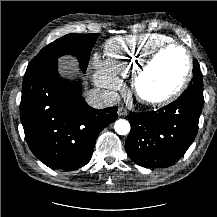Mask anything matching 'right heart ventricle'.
<instances>
[{
  "mask_svg": "<svg viewBox=\"0 0 217 217\" xmlns=\"http://www.w3.org/2000/svg\"><path fill=\"white\" fill-rule=\"evenodd\" d=\"M168 42L170 37L157 33L111 38L105 44L106 65L112 73L129 77L154 49Z\"/></svg>",
  "mask_w": 217,
  "mask_h": 217,
  "instance_id": "e07e8e85",
  "label": "right heart ventricle"
}]
</instances>
